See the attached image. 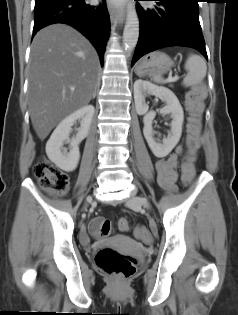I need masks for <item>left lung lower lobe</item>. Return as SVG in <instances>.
I'll list each match as a JSON object with an SVG mask.
<instances>
[{
	"label": "left lung lower lobe",
	"instance_id": "obj_1",
	"mask_svg": "<svg viewBox=\"0 0 238 315\" xmlns=\"http://www.w3.org/2000/svg\"><path fill=\"white\" fill-rule=\"evenodd\" d=\"M152 1H157L153 9L144 10L137 5L140 35L132 65L143 55L168 46L194 48L207 58L199 22V0Z\"/></svg>",
	"mask_w": 238,
	"mask_h": 315
}]
</instances>
